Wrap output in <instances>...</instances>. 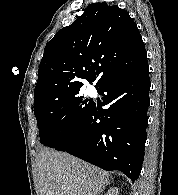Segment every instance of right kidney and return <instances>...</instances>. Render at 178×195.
<instances>
[{"mask_svg": "<svg viewBox=\"0 0 178 195\" xmlns=\"http://www.w3.org/2000/svg\"><path fill=\"white\" fill-rule=\"evenodd\" d=\"M105 195H119L118 188H111Z\"/></svg>", "mask_w": 178, "mask_h": 195, "instance_id": "ca27d5eb", "label": "right kidney"}]
</instances>
